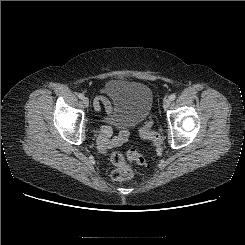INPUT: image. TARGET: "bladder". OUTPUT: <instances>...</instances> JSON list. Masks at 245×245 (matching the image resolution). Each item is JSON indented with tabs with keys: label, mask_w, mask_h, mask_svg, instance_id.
Returning <instances> with one entry per match:
<instances>
[{
	"label": "bladder",
	"mask_w": 245,
	"mask_h": 245,
	"mask_svg": "<svg viewBox=\"0 0 245 245\" xmlns=\"http://www.w3.org/2000/svg\"><path fill=\"white\" fill-rule=\"evenodd\" d=\"M112 101L105 108L108 121L138 124L149 114L153 105L151 89L139 82L116 80L109 84Z\"/></svg>",
	"instance_id": "31cf9c89"
}]
</instances>
